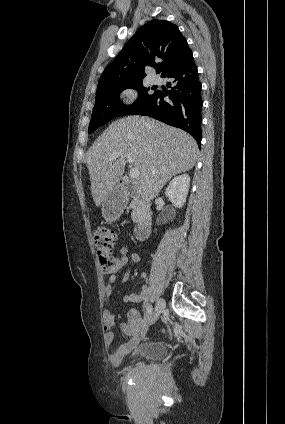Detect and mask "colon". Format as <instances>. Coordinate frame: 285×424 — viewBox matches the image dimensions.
Wrapping results in <instances>:
<instances>
[{
  "instance_id": "1",
  "label": "colon",
  "mask_w": 285,
  "mask_h": 424,
  "mask_svg": "<svg viewBox=\"0 0 285 424\" xmlns=\"http://www.w3.org/2000/svg\"><path fill=\"white\" fill-rule=\"evenodd\" d=\"M115 239L113 229L97 227L93 231V245L107 273H113L118 268V261L112 256Z\"/></svg>"
}]
</instances>
